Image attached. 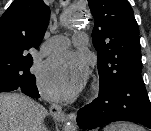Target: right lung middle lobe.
Listing matches in <instances>:
<instances>
[{
    "instance_id": "dd1d6c3e",
    "label": "right lung middle lobe",
    "mask_w": 151,
    "mask_h": 131,
    "mask_svg": "<svg viewBox=\"0 0 151 131\" xmlns=\"http://www.w3.org/2000/svg\"><path fill=\"white\" fill-rule=\"evenodd\" d=\"M32 62V56L27 53L0 54V75L13 82L34 77L29 72Z\"/></svg>"
}]
</instances>
